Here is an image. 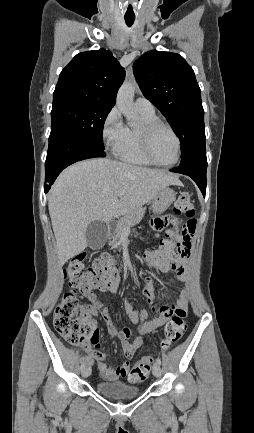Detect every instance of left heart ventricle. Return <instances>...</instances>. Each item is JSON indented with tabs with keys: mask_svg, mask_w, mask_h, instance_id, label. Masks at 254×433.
<instances>
[{
	"mask_svg": "<svg viewBox=\"0 0 254 433\" xmlns=\"http://www.w3.org/2000/svg\"><path fill=\"white\" fill-rule=\"evenodd\" d=\"M154 157L161 163L168 164L175 160L177 144L172 134L165 128L157 129L151 138Z\"/></svg>",
	"mask_w": 254,
	"mask_h": 433,
	"instance_id": "b2bd125f",
	"label": "left heart ventricle"
}]
</instances>
